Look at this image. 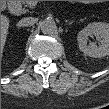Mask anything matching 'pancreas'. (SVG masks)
Returning <instances> with one entry per match:
<instances>
[{"mask_svg": "<svg viewBox=\"0 0 109 109\" xmlns=\"http://www.w3.org/2000/svg\"><path fill=\"white\" fill-rule=\"evenodd\" d=\"M22 4L26 7V6H31L29 1H23Z\"/></svg>", "mask_w": 109, "mask_h": 109, "instance_id": "cf45deb5", "label": "pancreas"}]
</instances>
